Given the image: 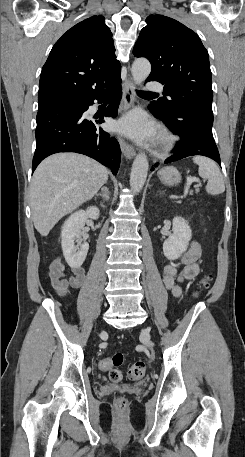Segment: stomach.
Wrapping results in <instances>:
<instances>
[{
	"mask_svg": "<svg viewBox=\"0 0 245 457\" xmlns=\"http://www.w3.org/2000/svg\"><path fill=\"white\" fill-rule=\"evenodd\" d=\"M158 176L163 182V184H168V186H173V184H178L181 180V172L175 166H164L158 172Z\"/></svg>",
	"mask_w": 245,
	"mask_h": 457,
	"instance_id": "stomach-1",
	"label": "stomach"
}]
</instances>
